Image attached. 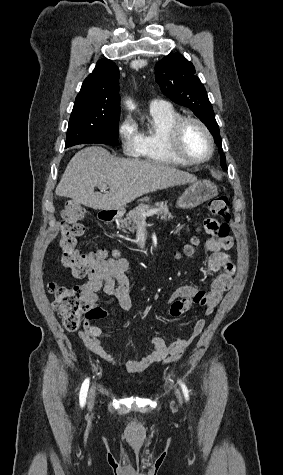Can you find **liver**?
Listing matches in <instances>:
<instances>
[{
  "mask_svg": "<svg viewBox=\"0 0 283 475\" xmlns=\"http://www.w3.org/2000/svg\"><path fill=\"white\" fill-rule=\"evenodd\" d=\"M196 176L168 164L115 158L104 148H84L71 158L55 192L93 210H121L136 198L182 184H195ZM108 186L109 192H94Z\"/></svg>",
  "mask_w": 283,
  "mask_h": 475,
  "instance_id": "liver-1",
  "label": "liver"
}]
</instances>
